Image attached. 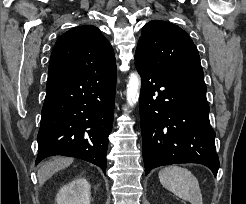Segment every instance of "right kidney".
<instances>
[{
    "label": "right kidney",
    "instance_id": "1",
    "mask_svg": "<svg viewBox=\"0 0 246 204\" xmlns=\"http://www.w3.org/2000/svg\"><path fill=\"white\" fill-rule=\"evenodd\" d=\"M90 194L88 181L79 178L61 187L56 201L57 204H90Z\"/></svg>",
    "mask_w": 246,
    "mask_h": 204
}]
</instances>
